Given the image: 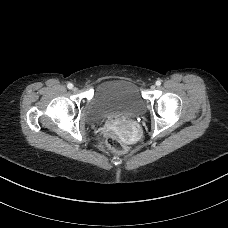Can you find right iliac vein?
Segmentation results:
<instances>
[{
    "label": "right iliac vein",
    "instance_id": "63e3f726",
    "mask_svg": "<svg viewBox=\"0 0 228 228\" xmlns=\"http://www.w3.org/2000/svg\"><path fill=\"white\" fill-rule=\"evenodd\" d=\"M73 89H74L75 91H77V88H76V87H74Z\"/></svg>",
    "mask_w": 228,
    "mask_h": 228
}]
</instances>
